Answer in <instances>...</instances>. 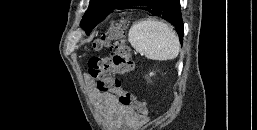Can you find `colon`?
Segmentation results:
<instances>
[{"label":"colon","instance_id":"1","mask_svg":"<svg viewBox=\"0 0 257 130\" xmlns=\"http://www.w3.org/2000/svg\"><path fill=\"white\" fill-rule=\"evenodd\" d=\"M127 24L124 19L113 23L109 30L93 41L91 48L100 51L111 45L109 57H91L88 61L89 76L95 80L100 93L117 95L122 106L132 108L140 116L146 117L149 109L145 102L125 89L117 75L126 74L134 69V62L125 43Z\"/></svg>","mask_w":257,"mask_h":130}]
</instances>
